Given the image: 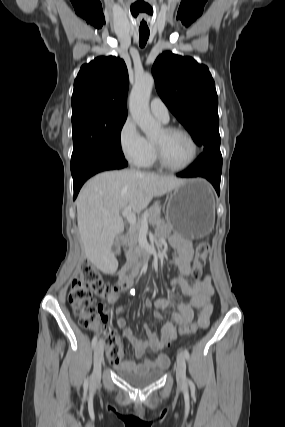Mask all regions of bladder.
<instances>
[{
  "label": "bladder",
  "mask_w": 285,
  "mask_h": 427,
  "mask_svg": "<svg viewBox=\"0 0 285 427\" xmlns=\"http://www.w3.org/2000/svg\"><path fill=\"white\" fill-rule=\"evenodd\" d=\"M118 373L130 385L141 388L159 380L164 374V369L158 368L156 370L145 373H134L130 371L118 370Z\"/></svg>",
  "instance_id": "bladder-1"
}]
</instances>
